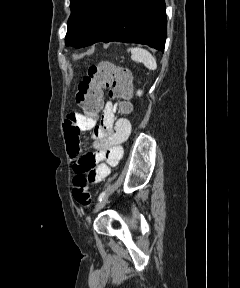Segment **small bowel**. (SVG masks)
<instances>
[{
	"label": "small bowel",
	"instance_id": "obj_1",
	"mask_svg": "<svg viewBox=\"0 0 240 288\" xmlns=\"http://www.w3.org/2000/svg\"><path fill=\"white\" fill-rule=\"evenodd\" d=\"M63 130L73 172L84 175L90 183H99L122 159V143L131 133V124L126 118L116 119L114 105L107 101L99 122L96 118L72 112L65 118ZM90 130L93 131L95 152L82 154L80 133Z\"/></svg>",
	"mask_w": 240,
	"mask_h": 288
}]
</instances>
